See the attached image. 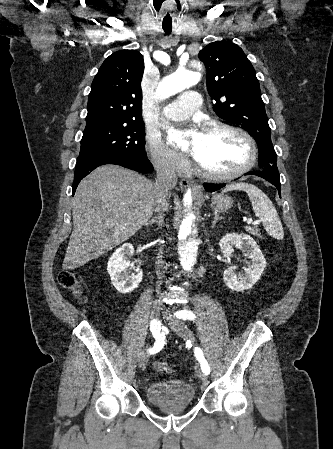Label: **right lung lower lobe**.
<instances>
[{"label": "right lung lower lobe", "mask_w": 333, "mask_h": 449, "mask_svg": "<svg viewBox=\"0 0 333 449\" xmlns=\"http://www.w3.org/2000/svg\"><path fill=\"white\" fill-rule=\"evenodd\" d=\"M104 164L120 165L140 173H150L153 171V165L147 159H129L121 156H109V155H92V156H79L74 175L73 182V195L82 178L88 175L92 170L98 166Z\"/></svg>", "instance_id": "obj_1"}]
</instances>
